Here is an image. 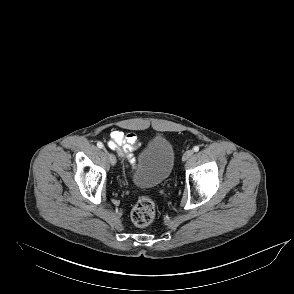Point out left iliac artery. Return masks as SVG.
Returning <instances> with one entry per match:
<instances>
[{
  "mask_svg": "<svg viewBox=\"0 0 294 294\" xmlns=\"http://www.w3.org/2000/svg\"><path fill=\"white\" fill-rule=\"evenodd\" d=\"M193 150H194L195 152H198V151H199V146H195V147L193 148Z\"/></svg>",
  "mask_w": 294,
  "mask_h": 294,
  "instance_id": "44dca946",
  "label": "left iliac artery"
}]
</instances>
